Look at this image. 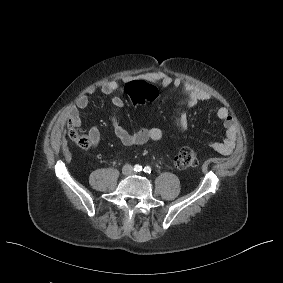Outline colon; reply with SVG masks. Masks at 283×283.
<instances>
[{"instance_id": "5ec220e1", "label": "colon", "mask_w": 283, "mask_h": 283, "mask_svg": "<svg viewBox=\"0 0 283 283\" xmlns=\"http://www.w3.org/2000/svg\"><path fill=\"white\" fill-rule=\"evenodd\" d=\"M126 94L134 104H143L153 101L158 97V89L145 81H132L125 87ZM70 138L81 148L89 149L90 140L80 128L72 121L68 122ZM174 163L179 169L194 168L198 164L196 152L191 148H183L174 159Z\"/></svg>"}]
</instances>
